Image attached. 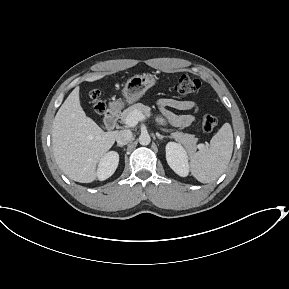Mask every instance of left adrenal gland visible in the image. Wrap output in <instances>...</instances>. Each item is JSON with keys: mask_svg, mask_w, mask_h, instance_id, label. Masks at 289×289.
Returning a JSON list of instances; mask_svg holds the SVG:
<instances>
[{"mask_svg": "<svg viewBox=\"0 0 289 289\" xmlns=\"http://www.w3.org/2000/svg\"><path fill=\"white\" fill-rule=\"evenodd\" d=\"M156 136H157V138L160 139V140H162V139H164V138H170V136H163V135H160V134H158V133H156Z\"/></svg>", "mask_w": 289, "mask_h": 289, "instance_id": "1", "label": "left adrenal gland"}]
</instances>
